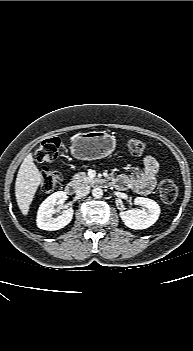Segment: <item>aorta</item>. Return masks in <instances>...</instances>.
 Here are the masks:
<instances>
[{"label": "aorta", "mask_w": 193, "mask_h": 351, "mask_svg": "<svg viewBox=\"0 0 193 351\" xmlns=\"http://www.w3.org/2000/svg\"><path fill=\"white\" fill-rule=\"evenodd\" d=\"M92 195L96 199L101 198L103 196V190L100 187H95L92 190Z\"/></svg>", "instance_id": "762f6f07"}]
</instances>
